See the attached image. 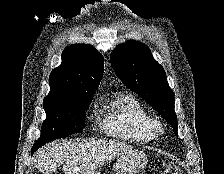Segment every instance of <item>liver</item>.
Masks as SVG:
<instances>
[{"label": "liver", "instance_id": "1", "mask_svg": "<svg viewBox=\"0 0 224 174\" xmlns=\"http://www.w3.org/2000/svg\"><path fill=\"white\" fill-rule=\"evenodd\" d=\"M132 149L131 145L112 140L65 139L39 149L34 165L42 174H52L60 165L65 174H88Z\"/></svg>", "mask_w": 224, "mask_h": 174}]
</instances>
